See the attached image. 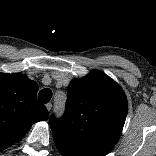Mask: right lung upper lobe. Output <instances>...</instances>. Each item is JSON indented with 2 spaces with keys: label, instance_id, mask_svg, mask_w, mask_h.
Masks as SVG:
<instances>
[{
  "label": "right lung upper lobe",
  "instance_id": "1",
  "mask_svg": "<svg viewBox=\"0 0 156 156\" xmlns=\"http://www.w3.org/2000/svg\"><path fill=\"white\" fill-rule=\"evenodd\" d=\"M38 84L27 76L0 73V149L19 141L49 113L36 96Z\"/></svg>",
  "mask_w": 156,
  "mask_h": 156
}]
</instances>
